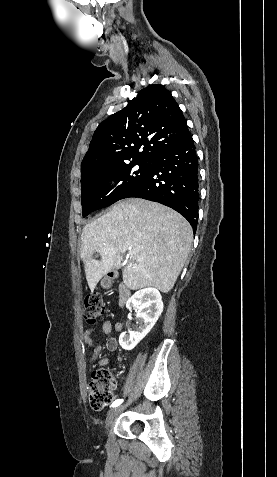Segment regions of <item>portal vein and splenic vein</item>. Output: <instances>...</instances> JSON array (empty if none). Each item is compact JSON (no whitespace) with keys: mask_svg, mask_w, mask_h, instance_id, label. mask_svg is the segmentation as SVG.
Masks as SVG:
<instances>
[{"mask_svg":"<svg viewBox=\"0 0 277 477\" xmlns=\"http://www.w3.org/2000/svg\"><path fill=\"white\" fill-rule=\"evenodd\" d=\"M128 254H129L130 256H133V252H132L131 248H129Z\"/></svg>","mask_w":277,"mask_h":477,"instance_id":"portal-vein-and-splenic-vein-1","label":"portal vein and splenic vein"}]
</instances>
